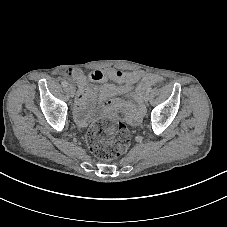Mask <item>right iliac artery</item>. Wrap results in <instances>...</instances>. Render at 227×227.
Returning <instances> with one entry per match:
<instances>
[{
  "mask_svg": "<svg viewBox=\"0 0 227 227\" xmlns=\"http://www.w3.org/2000/svg\"><path fill=\"white\" fill-rule=\"evenodd\" d=\"M61 84H62V86H64V87H67V86L69 85L68 82L65 81V80H63V81L61 82Z\"/></svg>",
  "mask_w": 227,
  "mask_h": 227,
  "instance_id": "obj_1",
  "label": "right iliac artery"
}]
</instances>
